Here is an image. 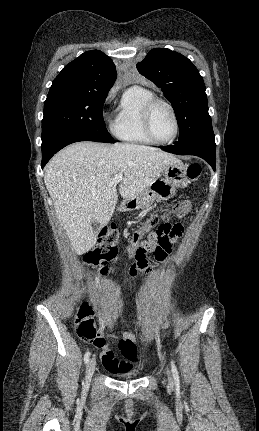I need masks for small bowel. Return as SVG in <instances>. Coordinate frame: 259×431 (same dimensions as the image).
<instances>
[{
  "instance_id": "c3829d8e",
  "label": "small bowel",
  "mask_w": 259,
  "mask_h": 431,
  "mask_svg": "<svg viewBox=\"0 0 259 431\" xmlns=\"http://www.w3.org/2000/svg\"><path fill=\"white\" fill-rule=\"evenodd\" d=\"M130 274L129 279H133V281H138L139 278H143V275L150 273L151 269L149 267L145 266H139V267H132L130 268ZM169 325V317H167L162 325L163 328H166ZM135 336L132 333L126 332L123 335V338L121 341H130L134 343ZM98 348L102 349V363L104 367L112 372L116 373L119 371H124L126 369H129L131 367L130 363H124L119 362L118 359L115 357L114 353L109 351L107 347L105 346V343L102 345H96ZM129 361L131 362H137L138 360V354L135 352L133 355L127 356L124 355Z\"/></svg>"
}]
</instances>
